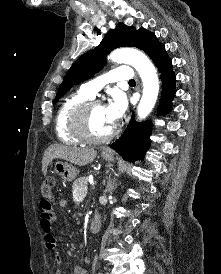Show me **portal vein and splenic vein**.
<instances>
[{
	"label": "portal vein and splenic vein",
	"instance_id": "18ae733b",
	"mask_svg": "<svg viewBox=\"0 0 221 274\" xmlns=\"http://www.w3.org/2000/svg\"><path fill=\"white\" fill-rule=\"evenodd\" d=\"M76 193V192H75ZM87 193V187H85L82 192L80 193L81 198L83 199L86 196Z\"/></svg>",
	"mask_w": 221,
	"mask_h": 274
}]
</instances>
